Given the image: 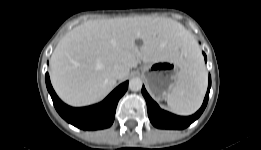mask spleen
<instances>
[{
    "mask_svg": "<svg viewBox=\"0 0 261 150\" xmlns=\"http://www.w3.org/2000/svg\"><path fill=\"white\" fill-rule=\"evenodd\" d=\"M188 56L189 61L181 70L178 82L166 97L171 111L184 116L200 108L207 89V72L199 48L189 49Z\"/></svg>",
    "mask_w": 261,
    "mask_h": 150,
    "instance_id": "obj_1",
    "label": "spleen"
}]
</instances>
